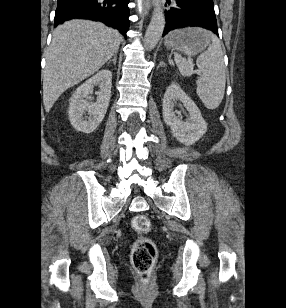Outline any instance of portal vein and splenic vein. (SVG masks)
<instances>
[{"instance_id": "18ae733b", "label": "portal vein and splenic vein", "mask_w": 286, "mask_h": 308, "mask_svg": "<svg viewBox=\"0 0 286 308\" xmlns=\"http://www.w3.org/2000/svg\"><path fill=\"white\" fill-rule=\"evenodd\" d=\"M193 73H195V72L193 70H191L189 75L191 76Z\"/></svg>"}]
</instances>
